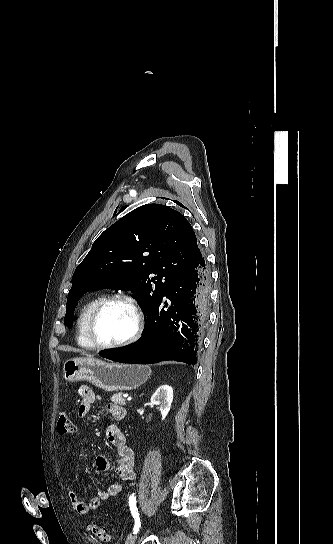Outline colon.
<instances>
[{
    "instance_id": "5ec220e1",
    "label": "colon",
    "mask_w": 333,
    "mask_h": 544,
    "mask_svg": "<svg viewBox=\"0 0 333 544\" xmlns=\"http://www.w3.org/2000/svg\"><path fill=\"white\" fill-rule=\"evenodd\" d=\"M57 431L59 434H71L75 431V426L72 419L67 414H62L57 422ZM89 531L101 540H108L109 534L107 530L95 523L88 525Z\"/></svg>"
}]
</instances>
